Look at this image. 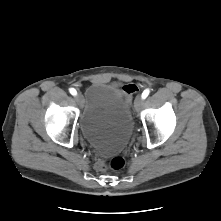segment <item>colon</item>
Listing matches in <instances>:
<instances>
[{
  "instance_id": "obj_1",
  "label": "colon",
  "mask_w": 221,
  "mask_h": 221,
  "mask_svg": "<svg viewBox=\"0 0 221 221\" xmlns=\"http://www.w3.org/2000/svg\"><path fill=\"white\" fill-rule=\"evenodd\" d=\"M139 90V87L136 83H128L124 85L123 92L126 100L129 102L131 100V96ZM126 164L125 159L122 156L113 157L110 162L107 164L104 161H99L97 163V168L101 171L110 168L112 170H121L124 168Z\"/></svg>"
}]
</instances>
